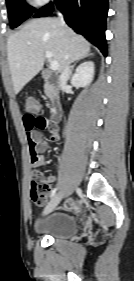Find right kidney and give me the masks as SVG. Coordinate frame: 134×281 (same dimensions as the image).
Segmentation results:
<instances>
[{"label": "right kidney", "instance_id": "ca27d5eb", "mask_svg": "<svg viewBox=\"0 0 134 281\" xmlns=\"http://www.w3.org/2000/svg\"><path fill=\"white\" fill-rule=\"evenodd\" d=\"M94 76V63L91 61L81 64L72 77L71 83L75 87L88 86Z\"/></svg>", "mask_w": 134, "mask_h": 281}]
</instances>
